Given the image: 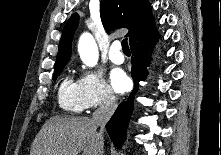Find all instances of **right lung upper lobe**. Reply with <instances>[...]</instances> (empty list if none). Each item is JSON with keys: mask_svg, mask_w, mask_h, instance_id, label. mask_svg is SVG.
Masks as SVG:
<instances>
[{"mask_svg": "<svg viewBox=\"0 0 221 155\" xmlns=\"http://www.w3.org/2000/svg\"><path fill=\"white\" fill-rule=\"evenodd\" d=\"M100 16L105 29L111 31L128 28L130 43L154 25L151 7L147 0H101ZM79 16L73 14L66 23L59 43L55 68L66 65L71 57V43L78 26Z\"/></svg>", "mask_w": 221, "mask_h": 155, "instance_id": "1", "label": "right lung upper lobe"}]
</instances>
